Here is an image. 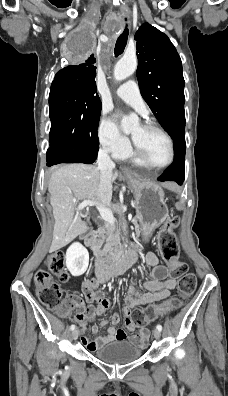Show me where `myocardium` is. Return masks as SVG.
<instances>
[{
  "label": "myocardium",
  "mask_w": 228,
  "mask_h": 396,
  "mask_svg": "<svg viewBox=\"0 0 228 396\" xmlns=\"http://www.w3.org/2000/svg\"><path fill=\"white\" fill-rule=\"evenodd\" d=\"M141 125L147 129H153V130L160 132L167 139L169 146H170V157H169L168 161L162 165H153L147 160V158L144 156L141 149L138 147V145L133 140V151H134L135 159L140 164H142L148 168L155 169V170H161V169H164V168L168 167L169 165H171L175 158V146H174V141H173V138L171 137V135L165 129H163L161 126H159L158 124H156L153 121H145Z\"/></svg>",
  "instance_id": "1"
}]
</instances>
